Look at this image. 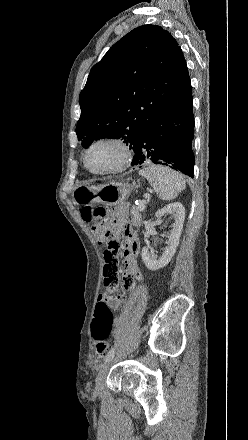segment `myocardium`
<instances>
[{"label": "myocardium", "mask_w": 248, "mask_h": 440, "mask_svg": "<svg viewBox=\"0 0 248 440\" xmlns=\"http://www.w3.org/2000/svg\"><path fill=\"white\" fill-rule=\"evenodd\" d=\"M101 144H112L116 146L120 152V156L118 161L111 167L104 169V170H93L88 166V156L89 153L98 145ZM131 149L127 142L119 137L115 136H105L96 139L93 141L85 150L83 155V163L84 167L88 172L94 175H110V174H116L119 172L124 171L127 166L129 165V162L131 160Z\"/></svg>", "instance_id": "myocardium-1"}]
</instances>
